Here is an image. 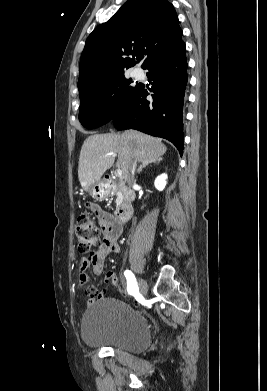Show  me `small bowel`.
Masks as SVG:
<instances>
[{"instance_id":"1","label":"small bowel","mask_w":267,"mask_h":391,"mask_svg":"<svg viewBox=\"0 0 267 391\" xmlns=\"http://www.w3.org/2000/svg\"><path fill=\"white\" fill-rule=\"evenodd\" d=\"M88 207L97 217L104 235L99 250L89 257L81 258L78 267L79 285L83 289L87 303L90 304L95 297L103 299L105 295L104 292L98 291L95 287L89 285L87 270L89 269L94 275L100 276L103 273L106 257L112 253H119L120 245L118 239L122 233V226L117 225L113 217L98 205L89 204ZM113 278H115V273L109 272L106 274L107 281Z\"/></svg>"}]
</instances>
